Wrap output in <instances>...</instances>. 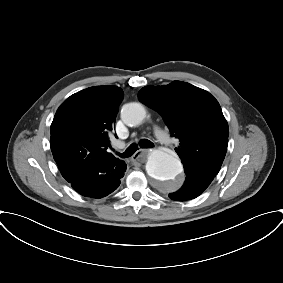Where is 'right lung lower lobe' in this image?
<instances>
[{"mask_svg":"<svg viewBox=\"0 0 283 283\" xmlns=\"http://www.w3.org/2000/svg\"><path fill=\"white\" fill-rule=\"evenodd\" d=\"M126 167L123 161H104L97 164L93 171L79 174L70 183L83 196L102 198L118 188Z\"/></svg>","mask_w":283,"mask_h":283,"instance_id":"right-lung-lower-lobe-1","label":"right lung lower lobe"}]
</instances>
